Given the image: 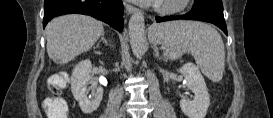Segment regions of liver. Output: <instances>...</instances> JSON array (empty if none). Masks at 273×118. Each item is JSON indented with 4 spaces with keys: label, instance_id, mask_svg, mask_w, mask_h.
Wrapping results in <instances>:
<instances>
[{
    "label": "liver",
    "instance_id": "1",
    "mask_svg": "<svg viewBox=\"0 0 273 118\" xmlns=\"http://www.w3.org/2000/svg\"><path fill=\"white\" fill-rule=\"evenodd\" d=\"M103 31V23L90 16L71 14L54 18L46 26L48 56L56 63H68L91 49Z\"/></svg>",
    "mask_w": 273,
    "mask_h": 118
}]
</instances>
